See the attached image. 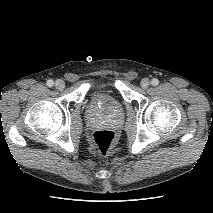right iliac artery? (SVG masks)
<instances>
[{"mask_svg":"<svg viewBox=\"0 0 213 213\" xmlns=\"http://www.w3.org/2000/svg\"><path fill=\"white\" fill-rule=\"evenodd\" d=\"M46 84L48 87H52L54 82H53V80H48Z\"/></svg>","mask_w":213,"mask_h":213,"instance_id":"82829eb1","label":"right iliac artery"}]
</instances>
